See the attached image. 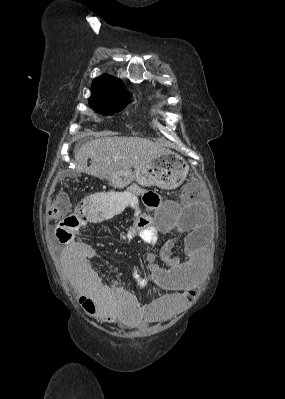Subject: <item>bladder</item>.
Instances as JSON below:
<instances>
[{
  "instance_id": "1",
  "label": "bladder",
  "mask_w": 285,
  "mask_h": 399,
  "mask_svg": "<svg viewBox=\"0 0 285 399\" xmlns=\"http://www.w3.org/2000/svg\"><path fill=\"white\" fill-rule=\"evenodd\" d=\"M122 325L125 326V327H130L129 324H127L125 322H122Z\"/></svg>"
}]
</instances>
